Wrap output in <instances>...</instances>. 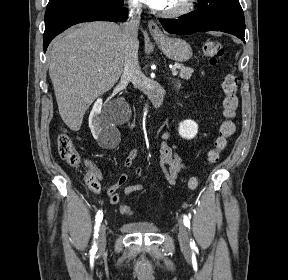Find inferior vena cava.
I'll return each instance as SVG.
<instances>
[{
    "mask_svg": "<svg viewBox=\"0 0 288 280\" xmlns=\"http://www.w3.org/2000/svg\"><path fill=\"white\" fill-rule=\"evenodd\" d=\"M141 5L133 3L129 5L130 21L123 25V35L125 40V55L123 64V77L128 78L139 90H147L149 104H153V110H160L163 94L160 81L157 78H145L138 63V48L136 46L138 27L140 23Z\"/></svg>",
    "mask_w": 288,
    "mask_h": 280,
    "instance_id": "inferior-vena-cava-1",
    "label": "inferior vena cava"
}]
</instances>
